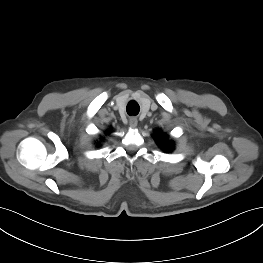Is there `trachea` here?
<instances>
[{
    "mask_svg": "<svg viewBox=\"0 0 263 263\" xmlns=\"http://www.w3.org/2000/svg\"><path fill=\"white\" fill-rule=\"evenodd\" d=\"M126 110L129 115H137L139 113L140 107L137 102L131 101L128 103Z\"/></svg>",
    "mask_w": 263,
    "mask_h": 263,
    "instance_id": "1",
    "label": "trachea"
}]
</instances>
